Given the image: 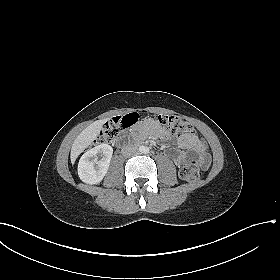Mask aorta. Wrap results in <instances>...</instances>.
<instances>
[{
    "instance_id": "obj_1",
    "label": "aorta",
    "mask_w": 280,
    "mask_h": 280,
    "mask_svg": "<svg viewBox=\"0 0 280 280\" xmlns=\"http://www.w3.org/2000/svg\"><path fill=\"white\" fill-rule=\"evenodd\" d=\"M140 152L143 154H147L149 152V149L146 146H142L140 147Z\"/></svg>"
}]
</instances>
